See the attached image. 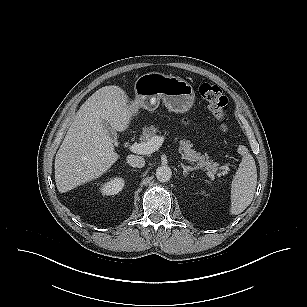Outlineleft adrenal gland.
<instances>
[{"mask_svg":"<svg viewBox=\"0 0 307 307\" xmlns=\"http://www.w3.org/2000/svg\"><path fill=\"white\" fill-rule=\"evenodd\" d=\"M181 167L183 169V175L186 177L190 171H194L196 168L191 166H185L184 164H181Z\"/></svg>","mask_w":307,"mask_h":307,"instance_id":"1","label":"left adrenal gland"}]
</instances>
